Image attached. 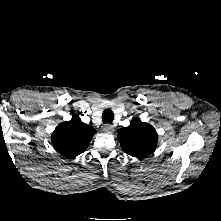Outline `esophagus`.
Returning a JSON list of instances; mask_svg holds the SVG:
<instances>
[{
	"instance_id": "1",
	"label": "esophagus",
	"mask_w": 221,
	"mask_h": 221,
	"mask_svg": "<svg viewBox=\"0 0 221 221\" xmlns=\"http://www.w3.org/2000/svg\"><path fill=\"white\" fill-rule=\"evenodd\" d=\"M104 131L107 133H112L114 131V126L111 124H105Z\"/></svg>"
}]
</instances>
